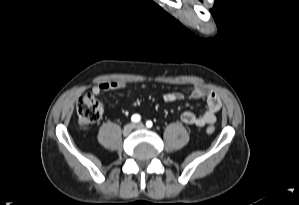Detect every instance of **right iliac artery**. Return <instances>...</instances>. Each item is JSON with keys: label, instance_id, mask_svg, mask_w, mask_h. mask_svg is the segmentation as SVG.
I'll use <instances>...</instances> for the list:
<instances>
[{"label": "right iliac artery", "instance_id": "right-iliac-artery-1", "mask_svg": "<svg viewBox=\"0 0 299 205\" xmlns=\"http://www.w3.org/2000/svg\"><path fill=\"white\" fill-rule=\"evenodd\" d=\"M141 119L140 115L138 114H134L132 117H131V120L132 122H139Z\"/></svg>", "mask_w": 299, "mask_h": 205}]
</instances>
